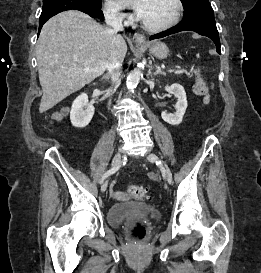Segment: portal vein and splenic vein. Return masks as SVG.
I'll return each mask as SVG.
<instances>
[{"label": "portal vein and splenic vein", "instance_id": "portal-vein-and-splenic-vein-1", "mask_svg": "<svg viewBox=\"0 0 261 273\" xmlns=\"http://www.w3.org/2000/svg\"><path fill=\"white\" fill-rule=\"evenodd\" d=\"M90 69L89 68H85V71H89ZM184 70H175L174 73L178 74V73H183Z\"/></svg>", "mask_w": 261, "mask_h": 273}]
</instances>
